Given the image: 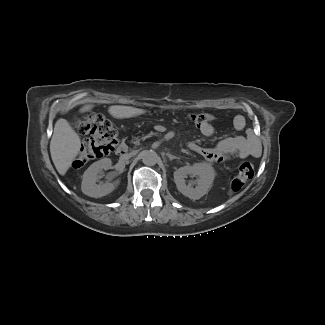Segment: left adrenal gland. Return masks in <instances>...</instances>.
Listing matches in <instances>:
<instances>
[{
  "mask_svg": "<svg viewBox=\"0 0 325 325\" xmlns=\"http://www.w3.org/2000/svg\"><path fill=\"white\" fill-rule=\"evenodd\" d=\"M166 155L168 156L170 161H172L173 159H180L179 157H176V156H174V155H172L170 153H167Z\"/></svg>",
  "mask_w": 325,
  "mask_h": 325,
  "instance_id": "obj_1",
  "label": "left adrenal gland"
}]
</instances>
